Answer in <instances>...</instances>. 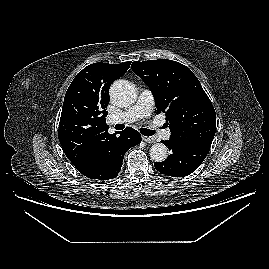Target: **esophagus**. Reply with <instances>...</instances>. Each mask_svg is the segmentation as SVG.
Segmentation results:
<instances>
[{"mask_svg":"<svg viewBox=\"0 0 269 269\" xmlns=\"http://www.w3.org/2000/svg\"><path fill=\"white\" fill-rule=\"evenodd\" d=\"M142 140L147 142V143L155 142V139L153 137H149V136H142Z\"/></svg>","mask_w":269,"mask_h":269,"instance_id":"esophagus-1","label":"esophagus"}]
</instances>
